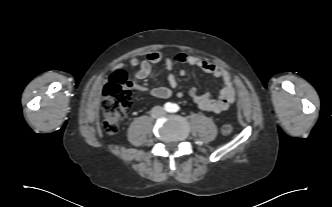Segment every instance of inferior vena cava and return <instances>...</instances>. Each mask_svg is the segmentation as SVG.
Returning <instances> with one entry per match:
<instances>
[{
    "label": "inferior vena cava",
    "instance_id": "obj_1",
    "mask_svg": "<svg viewBox=\"0 0 332 207\" xmlns=\"http://www.w3.org/2000/svg\"><path fill=\"white\" fill-rule=\"evenodd\" d=\"M163 114H165V111L163 110V108L161 106H155L151 110V116L153 118H158V117L162 116Z\"/></svg>",
    "mask_w": 332,
    "mask_h": 207
}]
</instances>
